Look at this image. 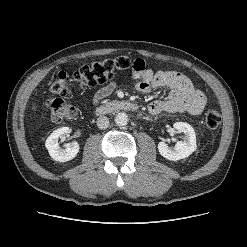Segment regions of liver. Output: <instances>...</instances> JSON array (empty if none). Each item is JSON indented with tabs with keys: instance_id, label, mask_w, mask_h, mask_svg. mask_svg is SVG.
<instances>
[{
	"instance_id": "6515ba94",
	"label": "liver",
	"mask_w": 247,
	"mask_h": 247,
	"mask_svg": "<svg viewBox=\"0 0 247 247\" xmlns=\"http://www.w3.org/2000/svg\"><path fill=\"white\" fill-rule=\"evenodd\" d=\"M33 111H36V105L35 104H33Z\"/></svg>"
}]
</instances>
